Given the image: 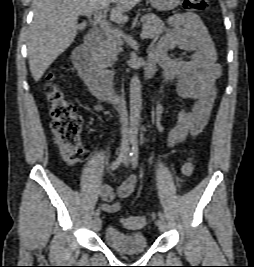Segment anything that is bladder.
Here are the masks:
<instances>
[{
	"label": "bladder",
	"instance_id": "1",
	"mask_svg": "<svg viewBox=\"0 0 254 267\" xmlns=\"http://www.w3.org/2000/svg\"><path fill=\"white\" fill-rule=\"evenodd\" d=\"M104 240L111 248L124 253L142 252L148 245L143 233L125 232L113 226L105 230Z\"/></svg>",
	"mask_w": 254,
	"mask_h": 267
}]
</instances>
